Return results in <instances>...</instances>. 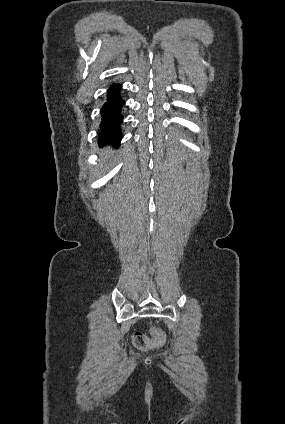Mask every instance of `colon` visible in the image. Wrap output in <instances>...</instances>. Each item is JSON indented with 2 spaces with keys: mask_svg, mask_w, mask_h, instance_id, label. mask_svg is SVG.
I'll return each instance as SVG.
<instances>
[{
  "mask_svg": "<svg viewBox=\"0 0 285 424\" xmlns=\"http://www.w3.org/2000/svg\"><path fill=\"white\" fill-rule=\"evenodd\" d=\"M153 338L147 335L137 332L133 337V342L136 348L139 350H148L156 347H160L166 340V333L159 327H152Z\"/></svg>",
  "mask_w": 285,
  "mask_h": 424,
  "instance_id": "1",
  "label": "colon"
}]
</instances>
